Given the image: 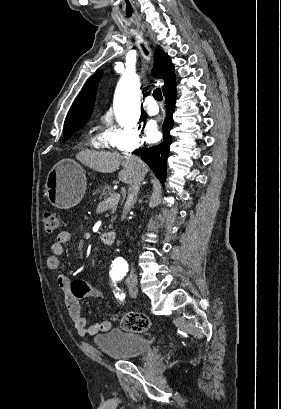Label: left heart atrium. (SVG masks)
<instances>
[{"label": "left heart atrium", "instance_id": "left-heart-atrium-1", "mask_svg": "<svg viewBox=\"0 0 281 409\" xmlns=\"http://www.w3.org/2000/svg\"><path fill=\"white\" fill-rule=\"evenodd\" d=\"M147 136L150 140H155L157 138L158 132L155 124L149 125L147 129Z\"/></svg>", "mask_w": 281, "mask_h": 409}]
</instances>
